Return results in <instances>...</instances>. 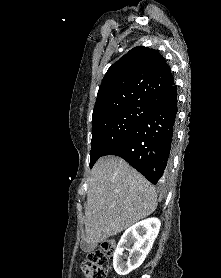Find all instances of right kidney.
Returning <instances> with one entry per match:
<instances>
[{"label": "right kidney", "mask_w": 221, "mask_h": 278, "mask_svg": "<svg viewBox=\"0 0 221 278\" xmlns=\"http://www.w3.org/2000/svg\"><path fill=\"white\" fill-rule=\"evenodd\" d=\"M160 226L159 219L149 218L136 223L124 232L113 256V267L118 275H127L143 263L159 233ZM124 250L129 251V257L124 254Z\"/></svg>", "instance_id": "ca27d5eb"}]
</instances>
